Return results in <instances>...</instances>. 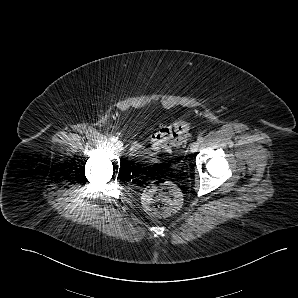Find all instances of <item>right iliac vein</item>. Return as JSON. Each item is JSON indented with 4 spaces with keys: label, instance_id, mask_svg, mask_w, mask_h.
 <instances>
[{
    "label": "right iliac vein",
    "instance_id": "1",
    "mask_svg": "<svg viewBox=\"0 0 298 298\" xmlns=\"http://www.w3.org/2000/svg\"><path fill=\"white\" fill-rule=\"evenodd\" d=\"M115 145L119 151L124 149L123 143L121 141H117Z\"/></svg>",
    "mask_w": 298,
    "mask_h": 298
}]
</instances>
